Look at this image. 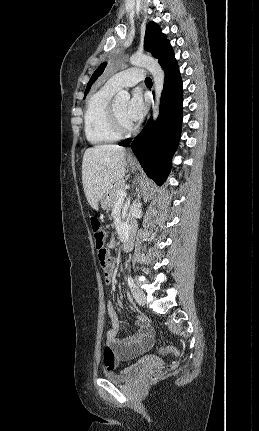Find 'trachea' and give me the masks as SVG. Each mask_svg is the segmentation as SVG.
<instances>
[{
  "label": "trachea",
  "mask_w": 259,
  "mask_h": 431,
  "mask_svg": "<svg viewBox=\"0 0 259 431\" xmlns=\"http://www.w3.org/2000/svg\"><path fill=\"white\" fill-rule=\"evenodd\" d=\"M145 84H146V85H151V84H152V80H151L149 77H147V78L145 79Z\"/></svg>",
  "instance_id": "3493384b"
}]
</instances>
